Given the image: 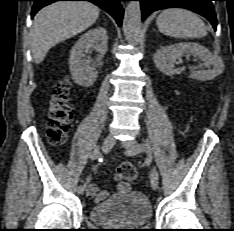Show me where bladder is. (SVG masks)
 Returning <instances> with one entry per match:
<instances>
[{
  "instance_id": "bladder-1",
  "label": "bladder",
  "mask_w": 234,
  "mask_h": 231,
  "mask_svg": "<svg viewBox=\"0 0 234 231\" xmlns=\"http://www.w3.org/2000/svg\"><path fill=\"white\" fill-rule=\"evenodd\" d=\"M89 217L100 225L139 226L151 220L152 206L143 193L131 191L93 205L89 210Z\"/></svg>"
}]
</instances>
